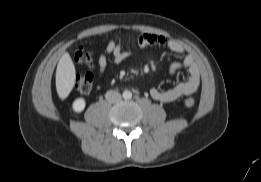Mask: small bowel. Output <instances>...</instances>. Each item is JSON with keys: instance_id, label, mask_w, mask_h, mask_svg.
Masks as SVG:
<instances>
[{"instance_id": "c3829d8e", "label": "small bowel", "mask_w": 261, "mask_h": 182, "mask_svg": "<svg viewBox=\"0 0 261 182\" xmlns=\"http://www.w3.org/2000/svg\"><path fill=\"white\" fill-rule=\"evenodd\" d=\"M148 47H164L173 53L184 55L181 61L171 64L169 71L172 75L181 69L187 70L188 73L185 81L167 90L152 88L150 95L154 100L159 102H172L184 95L192 94L198 89L200 85V70L195 58L186 53L184 46L180 42L164 36L148 33L140 35L131 50H125L119 42L110 40L105 50L98 56V76H103L110 64L119 65L123 63L132 55L134 50Z\"/></svg>"}]
</instances>
